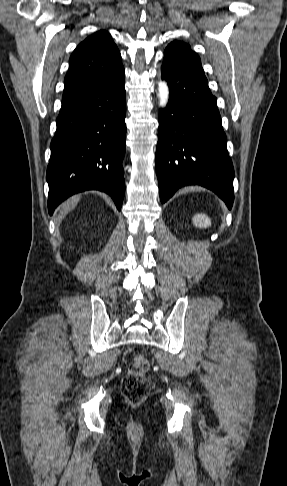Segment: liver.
Segmentation results:
<instances>
[{
  "mask_svg": "<svg viewBox=\"0 0 287 486\" xmlns=\"http://www.w3.org/2000/svg\"><path fill=\"white\" fill-rule=\"evenodd\" d=\"M81 196L80 195H75L71 198H69L59 209V213L56 217V224L59 225L61 221L65 218V216L72 211L80 201Z\"/></svg>",
  "mask_w": 287,
  "mask_h": 486,
  "instance_id": "obj_1",
  "label": "liver"
}]
</instances>
